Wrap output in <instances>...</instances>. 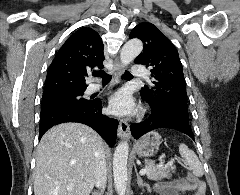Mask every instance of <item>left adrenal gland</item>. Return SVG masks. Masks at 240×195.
<instances>
[{
  "instance_id": "1",
  "label": "left adrenal gland",
  "mask_w": 240,
  "mask_h": 195,
  "mask_svg": "<svg viewBox=\"0 0 240 195\" xmlns=\"http://www.w3.org/2000/svg\"><path fill=\"white\" fill-rule=\"evenodd\" d=\"M134 169H135L136 181H137L138 185H144V187H148V189H149V187H150L149 183H146V181H143V179H141V177L137 171L136 165H134Z\"/></svg>"
}]
</instances>
